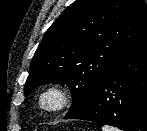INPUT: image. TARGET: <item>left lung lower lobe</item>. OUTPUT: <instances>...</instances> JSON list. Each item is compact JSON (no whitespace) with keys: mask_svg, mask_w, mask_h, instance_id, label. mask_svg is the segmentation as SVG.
<instances>
[{"mask_svg":"<svg viewBox=\"0 0 147 131\" xmlns=\"http://www.w3.org/2000/svg\"><path fill=\"white\" fill-rule=\"evenodd\" d=\"M67 118L147 131V40L122 55L89 101Z\"/></svg>","mask_w":147,"mask_h":131,"instance_id":"1","label":"left lung lower lobe"}]
</instances>
